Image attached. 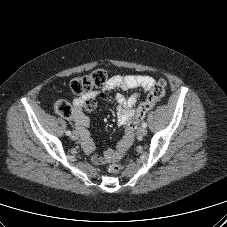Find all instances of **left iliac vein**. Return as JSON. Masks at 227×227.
Listing matches in <instances>:
<instances>
[{
  "label": "left iliac vein",
  "instance_id": "4c4485c4",
  "mask_svg": "<svg viewBox=\"0 0 227 227\" xmlns=\"http://www.w3.org/2000/svg\"><path fill=\"white\" fill-rule=\"evenodd\" d=\"M137 134H138L139 136H145V135L147 134V130H146L145 128H143V127H140V128L138 129V131H137Z\"/></svg>",
  "mask_w": 227,
  "mask_h": 227
}]
</instances>
